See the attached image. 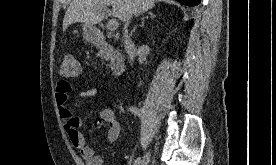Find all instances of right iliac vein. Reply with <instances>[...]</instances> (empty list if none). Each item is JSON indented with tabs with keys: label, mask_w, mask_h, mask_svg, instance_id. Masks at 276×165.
Returning <instances> with one entry per match:
<instances>
[{
	"label": "right iliac vein",
	"mask_w": 276,
	"mask_h": 165,
	"mask_svg": "<svg viewBox=\"0 0 276 165\" xmlns=\"http://www.w3.org/2000/svg\"><path fill=\"white\" fill-rule=\"evenodd\" d=\"M150 160V153H147L143 159L140 161L139 165H148Z\"/></svg>",
	"instance_id": "1"
}]
</instances>
